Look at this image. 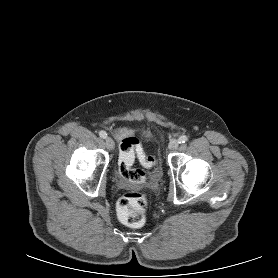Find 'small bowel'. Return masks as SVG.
<instances>
[{"instance_id":"1","label":"small bowel","mask_w":278,"mask_h":278,"mask_svg":"<svg viewBox=\"0 0 278 278\" xmlns=\"http://www.w3.org/2000/svg\"><path fill=\"white\" fill-rule=\"evenodd\" d=\"M114 133L116 137L121 141L127 138H134L133 137L134 131L128 127H119L115 129Z\"/></svg>"}]
</instances>
